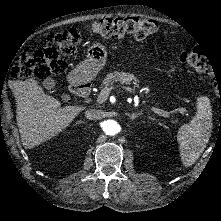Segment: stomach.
I'll use <instances>...</instances> for the list:
<instances>
[{
  "label": "stomach",
  "instance_id": "stomach-1",
  "mask_svg": "<svg viewBox=\"0 0 221 221\" xmlns=\"http://www.w3.org/2000/svg\"><path fill=\"white\" fill-rule=\"evenodd\" d=\"M106 51L101 45H93L88 49L87 59L73 69L72 75L76 81H85L88 77L94 79L103 66Z\"/></svg>",
  "mask_w": 221,
  "mask_h": 221
}]
</instances>
